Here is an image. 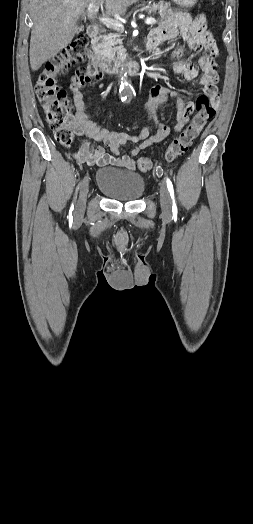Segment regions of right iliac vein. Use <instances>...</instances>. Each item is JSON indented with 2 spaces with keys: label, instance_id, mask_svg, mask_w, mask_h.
<instances>
[{
  "label": "right iliac vein",
  "instance_id": "obj_1",
  "mask_svg": "<svg viewBox=\"0 0 253 524\" xmlns=\"http://www.w3.org/2000/svg\"><path fill=\"white\" fill-rule=\"evenodd\" d=\"M88 190H89V178L87 177L81 188V192H80V195L77 201V206H76L77 217H81L85 211Z\"/></svg>",
  "mask_w": 253,
  "mask_h": 524
}]
</instances>
